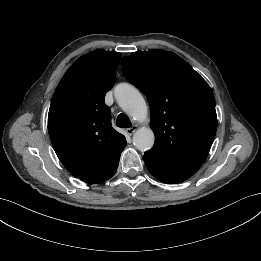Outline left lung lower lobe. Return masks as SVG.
I'll use <instances>...</instances> for the list:
<instances>
[{"mask_svg": "<svg viewBox=\"0 0 261 261\" xmlns=\"http://www.w3.org/2000/svg\"><path fill=\"white\" fill-rule=\"evenodd\" d=\"M143 159L149 172L155 178L167 184L182 182L200 168L197 165L172 163L149 152H145Z\"/></svg>", "mask_w": 261, "mask_h": 261, "instance_id": "left-lung-lower-lobe-1", "label": "left lung lower lobe"}]
</instances>
